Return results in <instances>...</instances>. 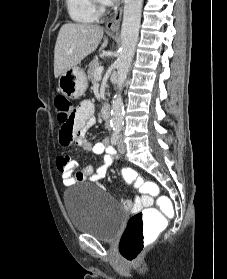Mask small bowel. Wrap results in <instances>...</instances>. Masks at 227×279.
<instances>
[{"instance_id":"obj_1","label":"small bowel","mask_w":227,"mask_h":279,"mask_svg":"<svg viewBox=\"0 0 227 279\" xmlns=\"http://www.w3.org/2000/svg\"><path fill=\"white\" fill-rule=\"evenodd\" d=\"M95 106L91 100H84L81 102L78 111L76 113L75 125L79 127L78 131H74L68 140L61 142L66 145L68 141H75L77 145L86 152H91L96 155H103V164L95 171L92 165L85 166L82 170L76 171L79 164L80 157L62 156L56 160V168L61 175L64 186L68 187L78 182L92 181L99 182L106 176L107 169L117 158L115 150L109 145L110 139L106 136L103 141L97 143H91L85 137L86 129L92 127L95 124L94 117ZM108 130V127H106ZM131 168L122 169V174ZM123 205L127 209L133 211H139L143 207L152 204V198L133 196L129 199L122 201Z\"/></svg>"}]
</instances>
